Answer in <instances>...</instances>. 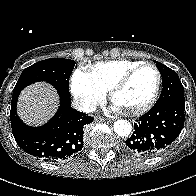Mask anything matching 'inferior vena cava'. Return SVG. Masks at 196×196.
<instances>
[{
  "mask_svg": "<svg viewBox=\"0 0 196 196\" xmlns=\"http://www.w3.org/2000/svg\"><path fill=\"white\" fill-rule=\"evenodd\" d=\"M72 106L78 111L91 113L96 110V105L88 100L84 99H74Z\"/></svg>",
  "mask_w": 196,
  "mask_h": 196,
  "instance_id": "1",
  "label": "inferior vena cava"
}]
</instances>
